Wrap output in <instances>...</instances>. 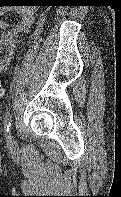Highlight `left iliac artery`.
<instances>
[{"label":"left iliac artery","instance_id":"obj_1","mask_svg":"<svg viewBox=\"0 0 121 197\" xmlns=\"http://www.w3.org/2000/svg\"><path fill=\"white\" fill-rule=\"evenodd\" d=\"M11 121H12V114L10 112H7L4 117V129L6 134H8L10 131Z\"/></svg>","mask_w":121,"mask_h":197}]
</instances>
